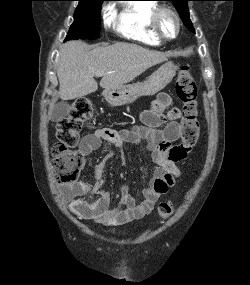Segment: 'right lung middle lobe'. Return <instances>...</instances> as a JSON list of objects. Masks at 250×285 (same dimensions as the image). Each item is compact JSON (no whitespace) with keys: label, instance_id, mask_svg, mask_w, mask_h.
<instances>
[{"label":"right lung middle lobe","instance_id":"obj_1","mask_svg":"<svg viewBox=\"0 0 250 285\" xmlns=\"http://www.w3.org/2000/svg\"><path fill=\"white\" fill-rule=\"evenodd\" d=\"M74 22L67 34L68 39H97L100 36V11L105 0H77Z\"/></svg>","mask_w":250,"mask_h":285}]
</instances>
